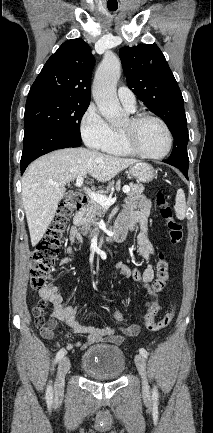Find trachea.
<instances>
[{"mask_svg": "<svg viewBox=\"0 0 213 433\" xmlns=\"http://www.w3.org/2000/svg\"><path fill=\"white\" fill-rule=\"evenodd\" d=\"M108 9H109L110 11H115L117 8H111V7H108Z\"/></svg>", "mask_w": 213, "mask_h": 433, "instance_id": "obj_1", "label": "trachea"}]
</instances>
